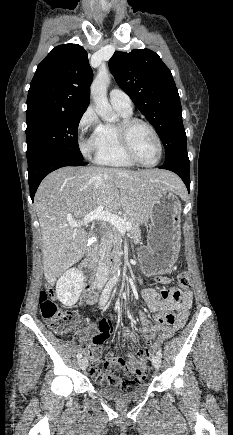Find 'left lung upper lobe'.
<instances>
[{
  "mask_svg": "<svg viewBox=\"0 0 233 435\" xmlns=\"http://www.w3.org/2000/svg\"><path fill=\"white\" fill-rule=\"evenodd\" d=\"M116 82L156 129L165 159L187 150L182 108L173 76L149 49L117 51L109 61Z\"/></svg>",
  "mask_w": 233,
  "mask_h": 435,
  "instance_id": "5c2ea615",
  "label": "left lung upper lobe"
}]
</instances>
